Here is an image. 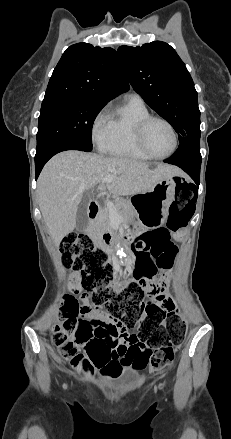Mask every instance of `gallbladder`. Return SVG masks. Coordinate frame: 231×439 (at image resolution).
I'll return each mask as SVG.
<instances>
[{"mask_svg": "<svg viewBox=\"0 0 231 439\" xmlns=\"http://www.w3.org/2000/svg\"><path fill=\"white\" fill-rule=\"evenodd\" d=\"M90 197L85 194L78 205L77 215H76V228L78 230H84L88 224L87 210L90 203Z\"/></svg>", "mask_w": 231, "mask_h": 439, "instance_id": "gallbladder-1", "label": "gallbladder"}]
</instances>
